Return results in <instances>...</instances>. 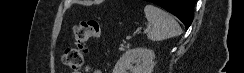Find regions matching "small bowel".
Listing matches in <instances>:
<instances>
[{
  "instance_id": "c3829d8e",
  "label": "small bowel",
  "mask_w": 244,
  "mask_h": 73,
  "mask_svg": "<svg viewBox=\"0 0 244 73\" xmlns=\"http://www.w3.org/2000/svg\"><path fill=\"white\" fill-rule=\"evenodd\" d=\"M84 73H101V71L92 65H86L84 67Z\"/></svg>"
}]
</instances>
